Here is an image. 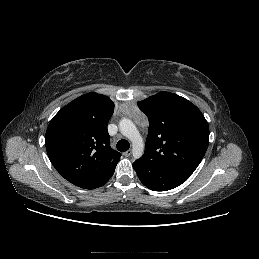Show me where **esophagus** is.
Segmentation results:
<instances>
[{
    "mask_svg": "<svg viewBox=\"0 0 259 259\" xmlns=\"http://www.w3.org/2000/svg\"><path fill=\"white\" fill-rule=\"evenodd\" d=\"M132 154V150L124 152V156L129 157Z\"/></svg>",
    "mask_w": 259,
    "mask_h": 259,
    "instance_id": "obj_1",
    "label": "esophagus"
}]
</instances>
